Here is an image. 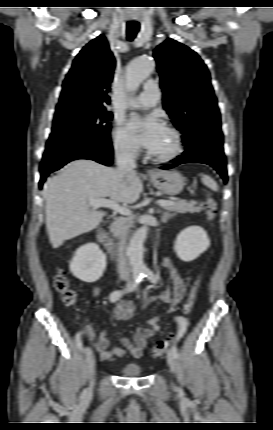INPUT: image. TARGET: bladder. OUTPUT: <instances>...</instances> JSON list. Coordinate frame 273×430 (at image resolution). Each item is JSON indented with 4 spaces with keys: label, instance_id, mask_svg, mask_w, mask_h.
I'll return each mask as SVG.
<instances>
[{
    "label": "bladder",
    "instance_id": "1",
    "mask_svg": "<svg viewBox=\"0 0 273 430\" xmlns=\"http://www.w3.org/2000/svg\"><path fill=\"white\" fill-rule=\"evenodd\" d=\"M121 373L127 377H137L141 375L142 369L138 364H128L122 368Z\"/></svg>",
    "mask_w": 273,
    "mask_h": 430
}]
</instances>
